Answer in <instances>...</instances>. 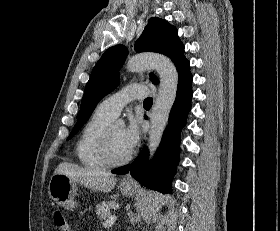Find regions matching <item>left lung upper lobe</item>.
<instances>
[{
    "label": "left lung upper lobe",
    "mask_w": 280,
    "mask_h": 231,
    "mask_svg": "<svg viewBox=\"0 0 280 231\" xmlns=\"http://www.w3.org/2000/svg\"><path fill=\"white\" fill-rule=\"evenodd\" d=\"M134 48L137 53L150 51L168 56L176 66L178 76L189 65V61L184 57V46L178 38L177 29L157 17L149 19ZM127 53L125 46L115 45L108 48L97 62L85 87L78 122L67 140L87 122L97 103L119 85V69ZM150 79L154 84L159 82L153 73H150Z\"/></svg>",
    "instance_id": "1"
}]
</instances>
